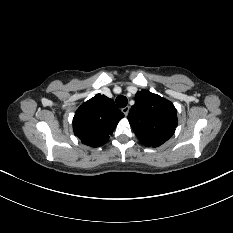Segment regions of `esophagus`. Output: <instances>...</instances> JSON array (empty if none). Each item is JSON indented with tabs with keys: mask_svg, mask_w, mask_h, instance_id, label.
Instances as JSON below:
<instances>
[{
	"mask_svg": "<svg viewBox=\"0 0 233 233\" xmlns=\"http://www.w3.org/2000/svg\"><path fill=\"white\" fill-rule=\"evenodd\" d=\"M129 110H130L129 106H126V107L122 108V112L124 113L125 116L128 115Z\"/></svg>",
	"mask_w": 233,
	"mask_h": 233,
	"instance_id": "esophagus-1",
	"label": "esophagus"
}]
</instances>
